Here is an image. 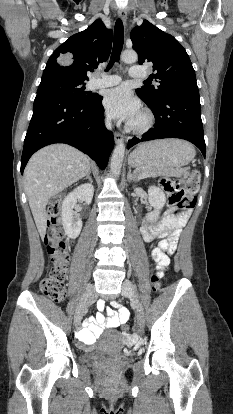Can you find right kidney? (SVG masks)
<instances>
[{"label": "right kidney", "instance_id": "right-kidney-1", "mask_svg": "<svg viewBox=\"0 0 233 414\" xmlns=\"http://www.w3.org/2000/svg\"><path fill=\"white\" fill-rule=\"evenodd\" d=\"M94 187L92 184H82L69 193L62 203V224L65 234L75 239L79 236L82 229V221L75 218L73 209L77 201L89 205L92 202Z\"/></svg>", "mask_w": 233, "mask_h": 414}]
</instances>
